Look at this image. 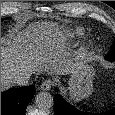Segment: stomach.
<instances>
[{"mask_svg":"<svg viewBox=\"0 0 115 115\" xmlns=\"http://www.w3.org/2000/svg\"><path fill=\"white\" fill-rule=\"evenodd\" d=\"M94 68L82 61V63L71 73L69 79V95L73 101H80L89 97L93 91Z\"/></svg>","mask_w":115,"mask_h":115,"instance_id":"obj_1","label":"stomach"}]
</instances>
